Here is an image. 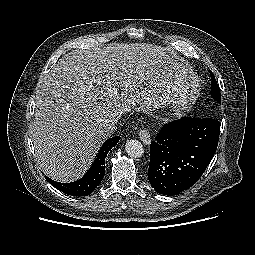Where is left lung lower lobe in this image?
Masks as SVG:
<instances>
[{
    "label": "left lung lower lobe",
    "instance_id": "obj_1",
    "mask_svg": "<svg viewBox=\"0 0 255 255\" xmlns=\"http://www.w3.org/2000/svg\"><path fill=\"white\" fill-rule=\"evenodd\" d=\"M221 123L183 117L165 125L150 146L148 179L156 192L175 195L193 186L212 160Z\"/></svg>",
    "mask_w": 255,
    "mask_h": 255
}]
</instances>
